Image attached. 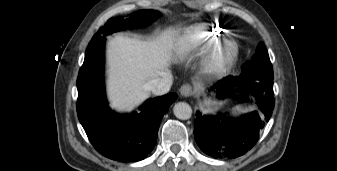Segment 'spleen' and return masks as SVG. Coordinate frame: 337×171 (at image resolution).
<instances>
[{"mask_svg":"<svg viewBox=\"0 0 337 171\" xmlns=\"http://www.w3.org/2000/svg\"><path fill=\"white\" fill-rule=\"evenodd\" d=\"M251 110V108H247V107H243V106H236V107H234L233 109H232V114L234 115V116H238V115H240V114H243V113H246V112H248V111H250Z\"/></svg>","mask_w":337,"mask_h":171,"instance_id":"1","label":"spleen"}]
</instances>
